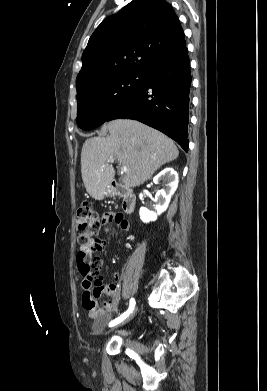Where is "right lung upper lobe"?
<instances>
[{
  "mask_svg": "<svg viewBox=\"0 0 267 391\" xmlns=\"http://www.w3.org/2000/svg\"><path fill=\"white\" fill-rule=\"evenodd\" d=\"M185 46L183 29L169 3L133 0L105 19L90 37L76 79L77 92L101 76L144 72Z\"/></svg>",
  "mask_w": 267,
  "mask_h": 391,
  "instance_id": "obj_1",
  "label": "right lung upper lobe"
}]
</instances>
